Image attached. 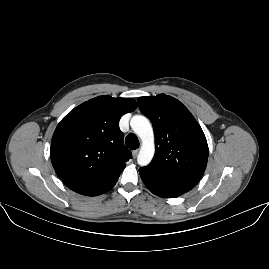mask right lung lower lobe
<instances>
[{
	"mask_svg": "<svg viewBox=\"0 0 269 269\" xmlns=\"http://www.w3.org/2000/svg\"><path fill=\"white\" fill-rule=\"evenodd\" d=\"M116 182H117V180L108 184V185L98 187V188L83 190V191L78 192V193L86 195V196H97V195H100V194H103V193L109 191L111 188H113V186L116 184Z\"/></svg>",
	"mask_w": 269,
	"mask_h": 269,
	"instance_id": "98d812e1",
	"label": "right lung lower lobe"
}]
</instances>
